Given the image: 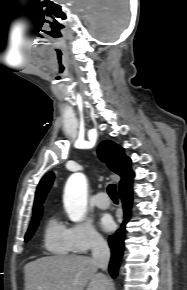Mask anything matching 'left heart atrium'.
<instances>
[{
    "label": "left heart atrium",
    "mask_w": 187,
    "mask_h": 290,
    "mask_svg": "<svg viewBox=\"0 0 187 290\" xmlns=\"http://www.w3.org/2000/svg\"><path fill=\"white\" fill-rule=\"evenodd\" d=\"M99 224L105 231H110L113 227V220L110 216L104 215L100 218Z\"/></svg>",
    "instance_id": "left-heart-atrium-1"
}]
</instances>
